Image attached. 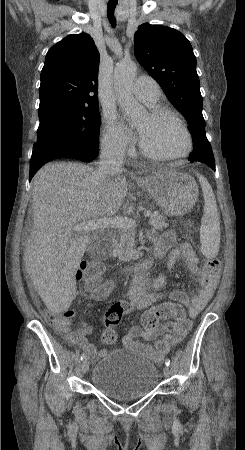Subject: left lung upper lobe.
Masks as SVG:
<instances>
[{
    "label": "left lung upper lobe",
    "instance_id": "obj_1",
    "mask_svg": "<svg viewBox=\"0 0 245 450\" xmlns=\"http://www.w3.org/2000/svg\"><path fill=\"white\" fill-rule=\"evenodd\" d=\"M134 51L139 63L159 83L172 104L185 116L192 134L193 152L209 147L202 115V96L196 58L187 38L179 31L144 23L138 27Z\"/></svg>",
    "mask_w": 245,
    "mask_h": 450
}]
</instances>
